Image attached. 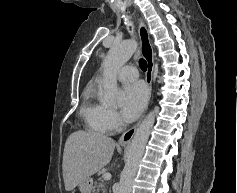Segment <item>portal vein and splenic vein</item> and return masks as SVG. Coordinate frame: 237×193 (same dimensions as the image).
<instances>
[{"instance_id":"1","label":"portal vein and splenic vein","mask_w":237,"mask_h":193,"mask_svg":"<svg viewBox=\"0 0 237 193\" xmlns=\"http://www.w3.org/2000/svg\"><path fill=\"white\" fill-rule=\"evenodd\" d=\"M103 180H110L111 179V174L109 172L103 174Z\"/></svg>"}]
</instances>
